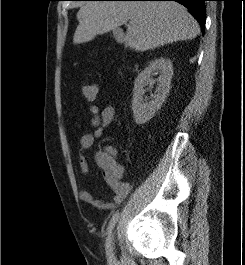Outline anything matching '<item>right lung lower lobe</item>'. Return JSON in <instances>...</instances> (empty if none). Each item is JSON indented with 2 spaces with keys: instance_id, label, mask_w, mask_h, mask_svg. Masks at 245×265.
Instances as JSON below:
<instances>
[{
  "instance_id": "right-lung-lower-lobe-1",
  "label": "right lung lower lobe",
  "mask_w": 245,
  "mask_h": 265,
  "mask_svg": "<svg viewBox=\"0 0 245 265\" xmlns=\"http://www.w3.org/2000/svg\"><path fill=\"white\" fill-rule=\"evenodd\" d=\"M123 1H176L184 5L201 26L202 33L205 30V1L206 0H123Z\"/></svg>"
}]
</instances>
